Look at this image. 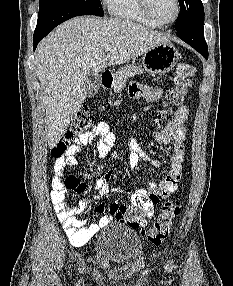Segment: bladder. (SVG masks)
I'll return each instance as SVG.
<instances>
[{"label": "bladder", "instance_id": "1", "mask_svg": "<svg viewBox=\"0 0 233 286\" xmlns=\"http://www.w3.org/2000/svg\"><path fill=\"white\" fill-rule=\"evenodd\" d=\"M92 254L98 263L125 267L143 256L144 247L135 231L124 224L114 223L101 234Z\"/></svg>", "mask_w": 233, "mask_h": 286}]
</instances>
